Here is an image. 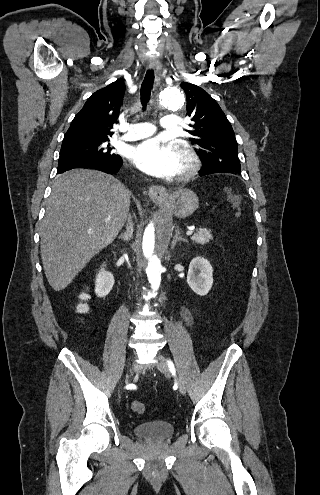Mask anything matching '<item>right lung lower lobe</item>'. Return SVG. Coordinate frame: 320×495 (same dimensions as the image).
Listing matches in <instances>:
<instances>
[{
  "label": "right lung lower lobe",
  "instance_id": "obj_1",
  "mask_svg": "<svg viewBox=\"0 0 320 495\" xmlns=\"http://www.w3.org/2000/svg\"><path fill=\"white\" fill-rule=\"evenodd\" d=\"M123 162L119 156L114 160H82L69 161L58 165L57 174L74 168H87L103 171L108 174H115L121 168Z\"/></svg>",
  "mask_w": 320,
  "mask_h": 495
}]
</instances>
